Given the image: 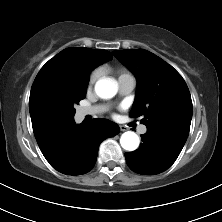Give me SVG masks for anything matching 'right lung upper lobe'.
Returning <instances> with one entry per match:
<instances>
[{"mask_svg": "<svg viewBox=\"0 0 222 222\" xmlns=\"http://www.w3.org/2000/svg\"><path fill=\"white\" fill-rule=\"evenodd\" d=\"M112 59L109 51L71 47L62 50L49 60L39 71L32 85L29 110L36 140L43 138L57 120H44L42 103L47 93L58 88L67 73L90 72L98 65Z\"/></svg>", "mask_w": 222, "mask_h": 222, "instance_id": "1", "label": "right lung upper lobe"}]
</instances>
